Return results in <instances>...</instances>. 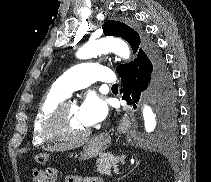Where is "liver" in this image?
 <instances>
[{"mask_svg": "<svg viewBox=\"0 0 211 182\" xmlns=\"http://www.w3.org/2000/svg\"><path fill=\"white\" fill-rule=\"evenodd\" d=\"M82 143H76V144H62V145H56V146H52V147H48L46 148L47 151H65V150H69L72 148H76L78 146H80Z\"/></svg>", "mask_w": 211, "mask_h": 182, "instance_id": "1", "label": "liver"}]
</instances>
